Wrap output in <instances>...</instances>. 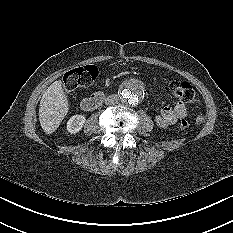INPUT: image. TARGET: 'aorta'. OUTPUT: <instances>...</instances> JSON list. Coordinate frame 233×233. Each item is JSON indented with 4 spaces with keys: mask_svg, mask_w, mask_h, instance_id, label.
<instances>
[{
    "mask_svg": "<svg viewBox=\"0 0 233 233\" xmlns=\"http://www.w3.org/2000/svg\"><path fill=\"white\" fill-rule=\"evenodd\" d=\"M144 95V87L141 81L132 79L125 83L120 92L121 100L127 105H137Z\"/></svg>",
    "mask_w": 233,
    "mask_h": 233,
    "instance_id": "762f6f07",
    "label": "aorta"
}]
</instances>
